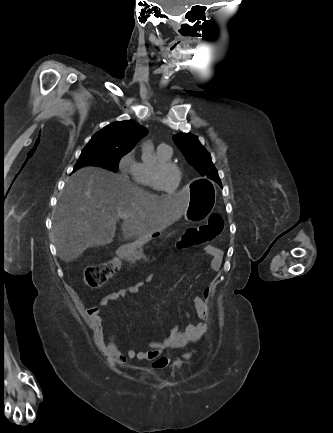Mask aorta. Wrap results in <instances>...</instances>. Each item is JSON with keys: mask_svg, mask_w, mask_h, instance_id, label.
I'll return each instance as SVG.
<instances>
[{"mask_svg": "<svg viewBox=\"0 0 333 433\" xmlns=\"http://www.w3.org/2000/svg\"><path fill=\"white\" fill-rule=\"evenodd\" d=\"M154 146L151 141H147L142 145V159L145 162L153 161Z\"/></svg>", "mask_w": 333, "mask_h": 433, "instance_id": "1", "label": "aorta"}]
</instances>
